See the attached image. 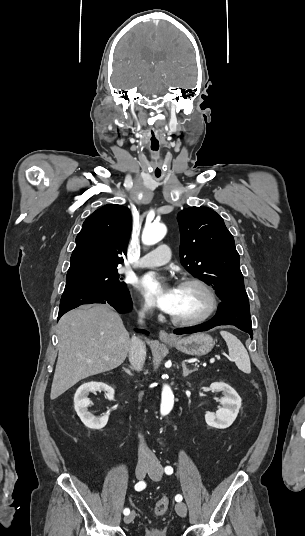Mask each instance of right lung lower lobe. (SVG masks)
<instances>
[{
  "label": "right lung lower lobe",
  "instance_id": "right-lung-lower-lobe-1",
  "mask_svg": "<svg viewBox=\"0 0 305 536\" xmlns=\"http://www.w3.org/2000/svg\"><path fill=\"white\" fill-rule=\"evenodd\" d=\"M91 303H108L113 306L119 313H125L131 310L132 303L128 290L123 294L118 295H101L89 292H72L63 294L60 300L58 319L71 309H74L83 304ZM138 332L146 333L147 331Z\"/></svg>",
  "mask_w": 305,
  "mask_h": 536
}]
</instances>
